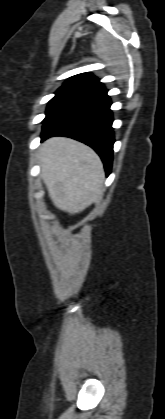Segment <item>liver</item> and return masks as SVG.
Listing matches in <instances>:
<instances>
[{
  "mask_svg": "<svg viewBox=\"0 0 165 419\" xmlns=\"http://www.w3.org/2000/svg\"><path fill=\"white\" fill-rule=\"evenodd\" d=\"M41 177L53 204L70 214L101 199L105 179L100 157L87 145L53 137L40 147Z\"/></svg>",
  "mask_w": 165,
  "mask_h": 419,
  "instance_id": "obj_1",
  "label": "liver"
}]
</instances>
